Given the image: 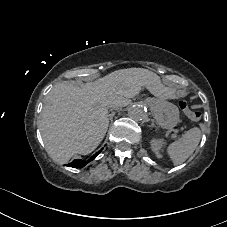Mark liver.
Instances as JSON below:
<instances>
[{"label": "liver", "mask_w": 227, "mask_h": 227, "mask_svg": "<svg viewBox=\"0 0 227 227\" xmlns=\"http://www.w3.org/2000/svg\"><path fill=\"white\" fill-rule=\"evenodd\" d=\"M155 76L147 69L128 68L82 88L71 83L55 85L46 97L39 124L50 157L65 163L75 154L93 152L108 129L111 98L116 94L133 97Z\"/></svg>", "instance_id": "1"}]
</instances>
